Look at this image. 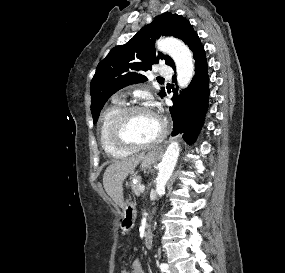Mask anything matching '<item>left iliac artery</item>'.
<instances>
[{
    "label": "left iliac artery",
    "mask_w": 285,
    "mask_h": 273,
    "mask_svg": "<svg viewBox=\"0 0 285 273\" xmlns=\"http://www.w3.org/2000/svg\"><path fill=\"white\" fill-rule=\"evenodd\" d=\"M160 268H161V271L166 272V273H170L169 270H168V268H169L168 264L162 263L160 265Z\"/></svg>",
    "instance_id": "obj_1"
}]
</instances>
